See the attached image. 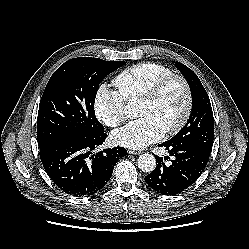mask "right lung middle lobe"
Listing matches in <instances>:
<instances>
[{"mask_svg":"<svg viewBox=\"0 0 249 249\" xmlns=\"http://www.w3.org/2000/svg\"><path fill=\"white\" fill-rule=\"evenodd\" d=\"M125 64L78 57L61 65L48 81L37 117L39 148L67 136L94 137L104 132L94 112L101 81Z\"/></svg>","mask_w":249,"mask_h":249,"instance_id":"1","label":"right lung middle lobe"}]
</instances>
